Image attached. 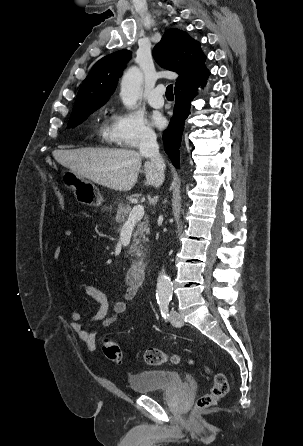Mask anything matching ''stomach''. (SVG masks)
Listing matches in <instances>:
<instances>
[{
    "label": "stomach",
    "instance_id": "0dacf381",
    "mask_svg": "<svg viewBox=\"0 0 303 446\" xmlns=\"http://www.w3.org/2000/svg\"><path fill=\"white\" fill-rule=\"evenodd\" d=\"M63 185L72 189L76 200L88 206H100L103 198L99 189L73 170H64L61 175Z\"/></svg>",
    "mask_w": 303,
    "mask_h": 446
}]
</instances>
